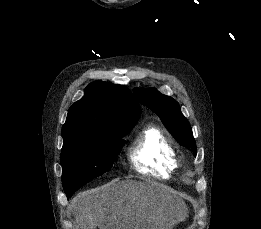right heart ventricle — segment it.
<instances>
[{"instance_id":"right-heart-ventricle-1","label":"right heart ventricle","mask_w":261,"mask_h":229,"mask_svg":"<svg viewBox=\"0 0 261 229\" xmlns=\"http://www.w3.org/2000/svg\"><path fill=\"white\" fill-rule=\"evenodd\" d=\"M128 157L141 172L170 173L176 168V153L171 140L157 125H147L134 139Z\"/></svg>"}]
</instances>
